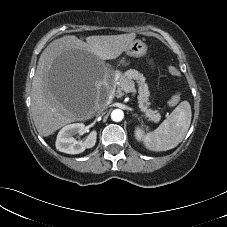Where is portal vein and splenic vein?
Segmentation results:
<instances>
[{"label": "portal vein and splenic vein", "instance_id": "18ae733b", "mask_svg": "<svg viewBox=\"0 0 227 227\" xmlns=\"http://www.w3.org/2000/svg\"><path fill=\"white\" fill-rule=\"evenodd\" d=\"M124 92H126V93H132L133 96H134L136 90H135L134 86H128V87H126V88L124 89Z\"/></svg>", "mask_w": 227, "mask_h": 227}]
</instances>
